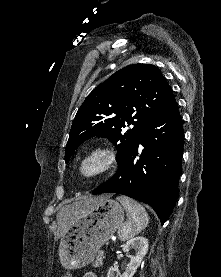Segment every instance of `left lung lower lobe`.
<instances>
[{"label": "left lung lower lobe", "mask_w": 221, "mask_h": 277, "mask_svg": "<svg viewBox=\"0 0 221 277\" xmlns=\"http://www.w3.org/2000/svg\"><path fill=\"white\" fill-rule=\"evenodd\" d=\"M183 143L182 120L174 99L146 126L118 171L93 194L118 193L146 203L164 224L177 200Z\"/></svg>", "instance_id": "1"}]
</instances>
